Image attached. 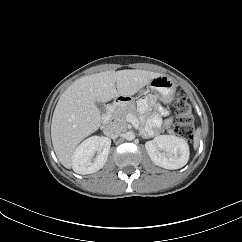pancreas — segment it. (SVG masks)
Segmentation results:
<instances>
[{"label":"pancreas","mask_w":242,"mask_h":242,"mask_svg":"<svg viewBox=\"0 0 242 242\" xmlns=\"http://www.w3.org/2000/svg\"><path fill=\"white\" fill-rule=\"evenodd\" d=\"M128 114H132L136 117V108L134 103L117 106L111 112V119L114 123L125 128L127 125L126 117ZM169 133H173L172 130H168Z\"/></svg>","instance_id":"pancreas-1"}]
</instances>
